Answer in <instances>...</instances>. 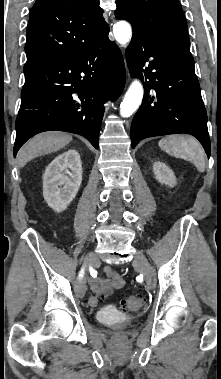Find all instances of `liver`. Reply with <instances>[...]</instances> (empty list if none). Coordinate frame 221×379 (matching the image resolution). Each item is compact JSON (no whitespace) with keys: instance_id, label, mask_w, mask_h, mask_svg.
I'll return each instance as SVG.
<instances>
[{"instance_id":"liver-1","label":"liver","mask_w":221,"mask_h":379,"mask_svg":"<svg viewBox=\"0 0 221 379\" xmlns=\"http://www.w3.org/2000/svg\"><path fill=\"white\" fill-rule=\"evenodd\" d=\"M72 141V136L64 132H44L31 138L18 152L20 167L30 160L51 152L58 151Z\"/></svg>"}]
</instances>
